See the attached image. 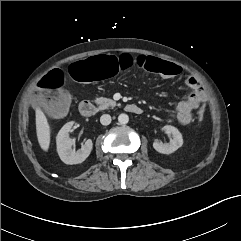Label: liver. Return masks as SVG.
<instances>
[{
    "label": "liver",
    "mask_w": 241,
    "mask_h": 241,
    "mask_svg": "<svg viewBox=\"0 0 241 241\" xmlns=\"http://www.w3.org/2000/svg\"><path fill=\"white\" fill-rule=\"evenodd\" d=\"M35 113L38 143L41 149L47 152L50 146V126L42 110L36 109Z\"/></svg>",
    "instance_id": "1"
}]
</instances>
